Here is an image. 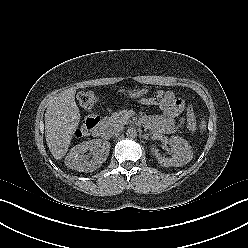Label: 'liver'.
<instances>
[{"label": "liver", "instance_id": "liver-1", "mask_svg": "<svg viewBox=\"0 0 248 248\" xmlns=\"http://www.w3.org/2000/svg\"><path fill=\"white\" fill-rule=\"evenodd\" d=\"M74 88L62 91L50 103L45 113V136L55 159L63 158L80 121V111L75 102Z\"/></svg>", "mask_w": 248, "mask_h": 248}]
</instances>
